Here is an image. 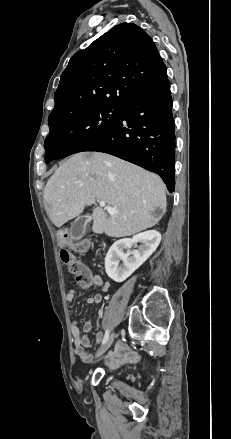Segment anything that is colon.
<instances>
[{"instance_id": "obj_1", "label": "colon", "mask_w": 231, "mask_h": 439, "mask_svg": "<svg viewBox=\"0 0 231 439\" xmlns=\"http://www.w3.org/2000/svg\"><path fill=\"white\" fill-rule=\"evenodd\" d=\"M57 241L60 248V259L67 265L71 274L76 277L78 284L82 288H87L91 282V272L86 265L76 259L70 248L81 249L87 251L89 246L86 241L81 240L78 236L71 238L69 241L68 232L64 229L58 231Z\"/></svg>"}]
</instances>
